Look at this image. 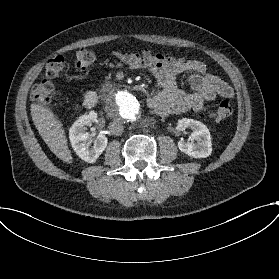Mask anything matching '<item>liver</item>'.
Returning a JSON list of instances; mask_svg holds the SVG:
<instances>
[{"label": "liver", "mask_w": 279, "mask_h": 279, "mask_svg": "<svg viewBox=\"0 0 279 279\" xmlns=\"http://www.w3.org/2000/svg\"><path fill=\"white\" fill-rule=\"evenodd\" d=\"M31 116L35 127L50 151L61 161L71 164L73 162L72 152L59 117L46 104L35 102L31 103Z\"/></svg>", "instance_id": "1"}]
</instances>
